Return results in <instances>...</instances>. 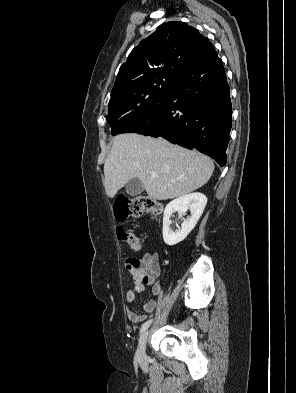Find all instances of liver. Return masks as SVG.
<instances>
[{"instance_id": "obj_1", "label": "liver", "mask_w": 296, "mask_h": 393, "mask_svg": "<svg viewBox=\"0 0 296 393\" xmlns=\"http://www.w3.org/2000/svg\"><path fill=\"white\" fill-rule=\"evenodd\" d=\"M213 161L163 138L136 133L117 135L104 164V187L113 198L133 178H138L148 196L168 200L184 196L208 182ZM157 173V177L151 173Z\"/></svg>"}]
</instances>
